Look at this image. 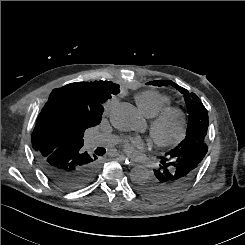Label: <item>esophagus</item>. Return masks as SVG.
<instances>
[{
    "instance_id": "34e87169",
    "label": "esophagus",
    "mask_w": 245,
    "mask_h": 245,
    "mask_svg": "<svg viewBox=\"0 0 245 245\" xmlns=\"http://www.w3.org/2000/svg\"><path fill=\"white\" fill-rule=\"evenodd\" d=\"M118 159L123 161L124 164L128 167H132L135 165V163L133 161H131L128 157H126L124 155H118Z\"/></svg>"
}]
</instances>
